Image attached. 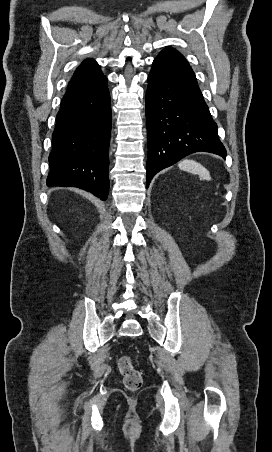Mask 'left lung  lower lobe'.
Returning a JSON list of instances; mask_svg holds the SVG:
<instances>
[{"instance_id":"left-lung-lower-lobe-1","label":"left lung lower lobe","mask_w":272,"mask_h":452,"mask_svg":"<svg viewBox=\"0 0 272 452\" xmlns=\"http://www.w3.org/2000/svg\"><path fill=\"white\" fill-rule=\"evenodd\" d=\"M146 120L147 187L157 172L191 153L203 151L226 157L195 74L173 48L164 49L153 61L146 92Z\"/></svg>"}]
</instances>
